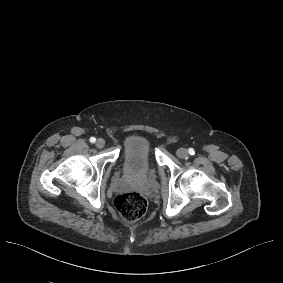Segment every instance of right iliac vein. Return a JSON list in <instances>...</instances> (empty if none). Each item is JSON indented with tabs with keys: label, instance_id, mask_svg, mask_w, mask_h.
I'll return each instance as SVG.
<instances>
[{
	"label": "right iliac vein",
	"instance_id": "right-iliac-vein-1",
	"mask_svg": "<svg viewBox=\"0 0 283 283\" xmlns=\"http://www.w3.org/2000/svg\"><path fill=\"white\" fill-rule=\"evenodd\" d=\"M96 146L98 148H103L105 146V141L102 138L97 139Z\"/></svg>",
	"mask_w": 283,
	"mask_h": 283
}]
</instances>
